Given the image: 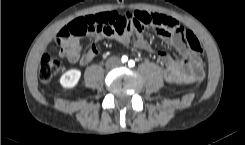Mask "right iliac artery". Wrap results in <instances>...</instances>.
Wrapping results in <instances>:
<instances>
[{
	"label": "right iliac artery",
	"mask_w": 245,
	"mask_h": 145,
	"mask_svg": "<svg viewBox=\"0 0 245 145\" xmlns=\"http://www.w3.org/2000/svg\"><path fill=\"white\" fill-rule=\"evenodd\" d=\"M121 60L124 63V62H126L128 60V57L124 55V56H122V59Z\"/></svg>",
	"instance_id": "82829eb1"
}]
</instances>
